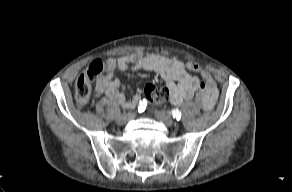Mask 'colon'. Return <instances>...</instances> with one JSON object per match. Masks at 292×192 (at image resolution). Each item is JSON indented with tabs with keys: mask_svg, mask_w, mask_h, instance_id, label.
<instances>
[{
	"mask_svg": "<svg viewBox=\"0 0 292 192\" xmlns=\"http://www.w3.org/2000/svg\"><path fill=\"white\" fill-rule=\"evenodd\" d=\"M108 63L103 60H95L89 64L86 70L78 77L75 84V99L79 105L88 102L91 92V82L97 76L107 70ZM144 95L148 102L152 105H158L169 98L168 90L147 84L144 88Z\"/></svg>",
	"mask_w": 292,
	"mask_h": 192,
	"instance_id": "5ec220e1",
	"label": "colon"
}]
</instances>
